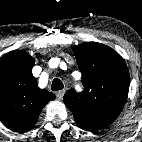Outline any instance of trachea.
I'll use <instances>...</instances> for the list:
<instances>
[{"instance_id": "obj_1", "label": "trachea", "mask_w": 142, "mask_h": 142, "mask_svg": "<svg viewBox=\"0 0 142 142\" xmlns=\"http://www.w3.org/2000/svg\"><path fill=\"white\" fill-rule=\"evenodd\" d=\"M63 88H64V85H63V83L61 82V80L58 79V78H55V79L53 80V82H52L51 89H52L53 91H58V90H61V89H63Z\"/></svg>"}]
</instances>
